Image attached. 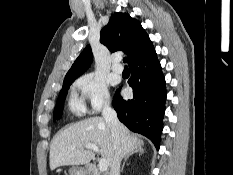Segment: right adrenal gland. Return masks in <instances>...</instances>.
<instances>
[{"instance_id":"2a0ac1e0","label":"right adrenal gland","mask_w":233,"mask_h":175,"mask_svg":"<svg viewBox=\"0 0 233 175\" xmlns=\"http://www.w3.org/2000/svg\"><path fill=\"white\" fill-rule=\"evenodd\" d=\"M144 152H145V151H144V149L142 148V146H138L134 151L130 152V153L126 156V158H125V160H124V163H123L122 168H121V172H123L125 163H126V161L128 160V158H129L130 156H132V155H134V154H137V153H139V155H142Z\"/></svg>"}]
</instances>
